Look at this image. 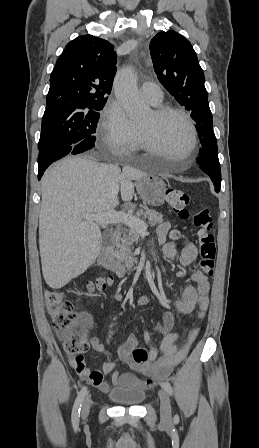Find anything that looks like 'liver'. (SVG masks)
<instances>
[{
	"instance_id": "6515ba94",
	"label": "liver",
	"mask_w": 259,
	"mask_h": 448,
	"mask_svg": "<svg viewBox=\"0 0 259 448\" xmlns=\"http://www.w3.org/2000/svg\"><path fill=\"white\" fill-rule=\"evenodd\" d=\"M39 250L43 278L63 288L94 264L101 250V230L81 214H105L119 206L130 184L118 166L93 158L68 156L46 170L41 180Z\"/></svg>"
}]
</instances>
